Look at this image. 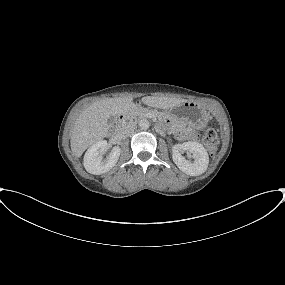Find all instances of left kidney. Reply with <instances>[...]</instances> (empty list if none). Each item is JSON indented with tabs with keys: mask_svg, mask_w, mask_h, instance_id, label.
Instances as JSON below:
<instances>
[{
	"mask_svg": "<svg viewBox=\"0 0 285 285\" xmlns=\"http://www.w3.org/2000/svg\"><path fill=\"white\" fill-rule=\"evenodd\" d=\"M189 151L194 158L190 162L181 155V152ZM172 158L177 167L190 176H198L203 174L209 164V156L204 146L198 142L188 141L177 144L172 148Z\"/></svg>",
	"mask_w": 285,
	"mask_h": 285,
	"instance_id": "1",
	"label": "left kidney"
}]
</instances>
